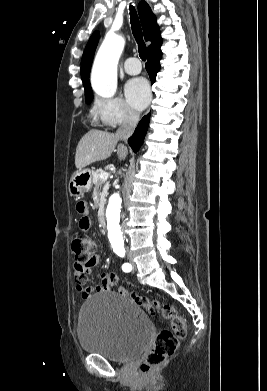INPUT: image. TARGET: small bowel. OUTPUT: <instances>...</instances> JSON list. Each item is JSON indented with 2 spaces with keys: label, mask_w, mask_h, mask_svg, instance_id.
<instances>
[{
  "label": "small bowel",
  "mask_w": 267,
  "mask_h": 391,
  "mask_svg": "<svg viewBox=\"0 0 267 391\" xmlns=\"http://www.w3.org/2000/svg\"><path fill=\"white\" fill-rule=\"evenodd\" d=\"M76 211L81 215L79 222V227L82 231H87L91 226V219L88 215V206L85 202L80 201L76 205ZM98 259L92 266H81L75 264L74 268V278L76 281V289L82 296V298L87 299L95 292H102L109 288L107 282V274H103L101 277V283L96 286H88V276L92 273L94 267L96 266Z\"/></svg>",
  "instance_id": "c3829d8e"
}]
</instances>
